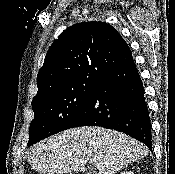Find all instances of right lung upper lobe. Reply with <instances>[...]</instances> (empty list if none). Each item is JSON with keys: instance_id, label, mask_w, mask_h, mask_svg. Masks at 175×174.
I'll return each instance as SVG.
<instances>
[{"instance_id": "1", "label": "right lung upper lobe", "mask_w": 175, "mask_h": 174, "mask_svg": "<svg viewBox=\"0 0 175 174\" xmlns=\"http://www.w3.org/2000/svg\"><path fill=\"white\" fill-rule=\"evenodd\" d=\"M132 60L128 44L111 25L83 22L67 28L51 45L37 75L32 104L65 91L96 85Z\"/></svg>"}]
</instances>
